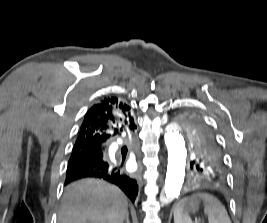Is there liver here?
<instances>
[{"label":"liver","mask_w":267,"mask_h":223,"mask_svg":"<svg viewBox=\"0 0 267 223\" xmlns=\"http://www.w3.org/2000/svg\"><path fill=\"white\" fill-rule=\"evenodd\" d=\"M127 209V197L119 188L84 179L65 189L58 223H123Z\"/></svg>","instance_id":"obj_1"}]
</instances>
